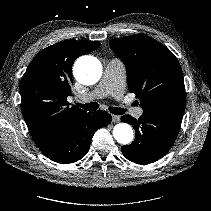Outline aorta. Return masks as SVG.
<instances>
[{"label":"aorta","mask_w":211,"mask_h":211,"mask_svg":"<svg viewBox=\"0 0 211 211\" xmlns=\"http://www.w3.org/2000/svg\"><path fill=\"white\" fill-rule=\"evenodd\" d=\"M74 76L83 85H93L102 75V66L98 59L92 56H82L74 64ZM114 139L123 145L129 144L134 137L132 127L127 123H119L113 128Z\"/></svg>","instance_id":"1"}]
</instances>
